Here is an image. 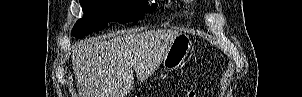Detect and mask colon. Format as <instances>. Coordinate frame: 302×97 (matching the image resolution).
Here are the masks:
<instances>
[{
    "label": "colon",
    "instance_id": "5ec220e1",
    "mask_svg": "<svg viewBox=\"0 0 302 97\" xmlns=\"http://www.w3.org/2000/svg\"><path fill=\"white\" fill-rule=\"evenodd\" d=\"M188 97H196L197 96V94H196V92L195 91H191V92H189L188 93V95H187Z\"/></svg>",
    "mask_w": 302,
    "mask_h": 97
}]
</instances>
